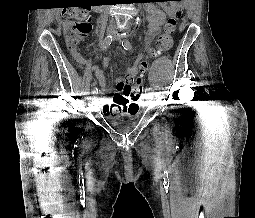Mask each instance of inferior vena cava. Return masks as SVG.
I'll list each match as a JSON object with an SVG mask.
<instances>
[{"label": "inferior vena cava", "mask_w": 255, "mask_h": 218, "mask_svg": "<svg viewBox=\"0 0 255 218\" xmlns=\"http://www.w3.org/2000/svg\"><path fill=\"white\" fill-rule=\"evenodd\" d=\"M113 26H114V21L111 20V21H110V27H113Z\"/></svg>", "instance_id": "inferior-vena-cava-1"}]
</instances>
